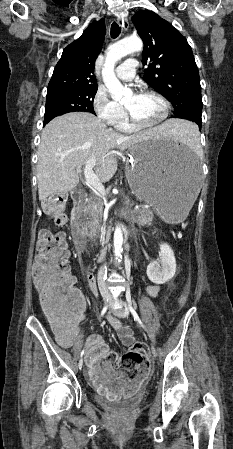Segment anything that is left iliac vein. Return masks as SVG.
I'll return each mask as SVG.
<instances>
[{
  "mask_svg": "<svg viewBox=\"0 0 233 449\" xmlns=\"http://www.w3.org/2000/svg\"><path fill=\"white\" fill-rule=\"evenodd\" d=\"M111 302H113V301H112V297H111ZM119 304H120L121 306H123V308H122L121 311H120V316L123 317V318H128L129 313H128V310H127V308H126V306H125V303L122 302V301H120ZM151 353H152V355H153L154 357L157 356V350H156V348H155L154 346H151Z\"/></svg>",
  "mask_w": 233,
  "mask_h": 449,
  "instance_id": "left-iliac-vein-1",
  "label": "left iliac vein"
}]
</instances>
